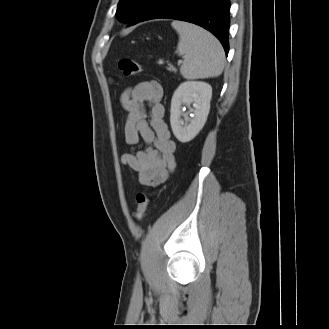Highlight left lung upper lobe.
Masks as SVG:
<instances>
[{"label":"left lung upper lobe","mask_w":329,"mask_h":329,"mask_svg":"<svg viewBox=\"0 0 329 329\" xmlns=\"http://www.w3.org/2000/svg\"><path fill=\"white\" fill-rule=\"evenodd\" d=\"M153 0H120L116 15L124 22L133 21L136 15Z\"/></svg>","instance_id":"5c2ea615"}]
</instances>
